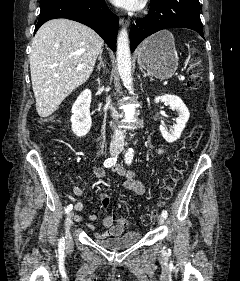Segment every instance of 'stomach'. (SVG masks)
I'll use <instances>...</instances> for the list:
<instances>
[{
    "instance_id": "1",
    "label": "stomach",
    "mask_w": 240,
    "mask_h": 281,
    "mask_svg": "<svg viewBox=\"0 0 240 281\" xmlns=\"http://www.w3.org/2000/svg\"><path fill=\"white\" fill-rule=\"evenodd\" d=\"M137 60L141 68L156 78H170L179 60L173 35L165 30L146 39L137 50Z\"/></svg>"
}]
</instances>
